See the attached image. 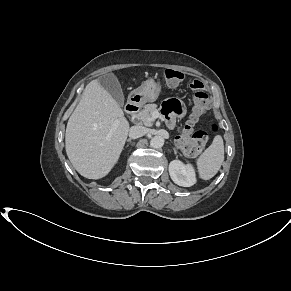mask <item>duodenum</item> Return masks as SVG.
<instances>
[{"mask_svg": "<svg viewBox=\"0 0 291 291\" xmlns=\"http://www.w3.org/2000/svg\"><path fill=\"white\" fill-rule=\"evenodd\" d=\"M125 111L128 115H135L139 111V106L136 102L130 101L126 104Z\"/></svg>", "mask_w": 291, "mask_h": 291, "instance_id": "1", "label": "duodenum"}]
</instances>
